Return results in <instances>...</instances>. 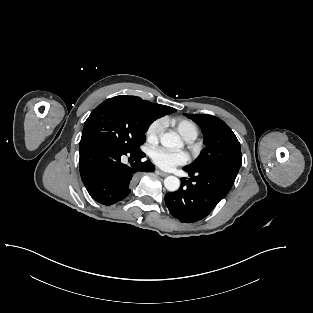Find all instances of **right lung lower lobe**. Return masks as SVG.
<instances>
[{"instance_id":"right-lung-lower-lobe-1","label":"right lung lower lobe","mask_w":313,"mask_h":313,"mask_svg":"<svg viewBox=\"0 0 313 313\" xmlns=\"http://www.w3.org/2000/svg\"><path fill=\"white\" fill-rule=\"evenodd\" d=\"M79 152L82 181L90 196L103 205H112L127 197L138 172L155 170L151 162L141 161L145 154L140 149L127 152L112 145L94 143L80 147ZM124 155L135 162L130 166L123 164Z\"/></svg>"}]
</instances>
